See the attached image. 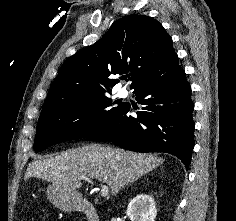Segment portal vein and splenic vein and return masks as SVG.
Masks as SVG:
<instances>
[{
	"label": "portal vein and splenic vein",
	"instance_id": "1",
	"mask_svg": "<svg viewBox=\"0 0 236 221\" xmlns=\"http://www.w3.org/2000/svg\"><path fill=\"white\" fill-rule=\"evenodd\" d=\"M81 179L87 181L88 183L93 184V182H92L89 178H87V177H83V178H81ZM108 194H109V188H108V186L103 185L102 188H101V191H100V195H101L102 197H106V196H108Z\"/></svg>",
	"mask_w": 236,
	"mask_h": 221
}]
</instances>
